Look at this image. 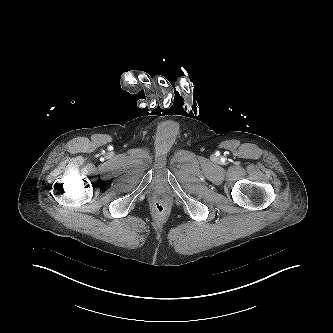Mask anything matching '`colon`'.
Listing matches in <instances>:
<instances>
[{
	"label": "colon",
	"mask_w": 333,
	"mask_h": 333,
	"mask_svg": "<svg viewBox=\"0 0 333 333\" xmlns=\"http://www.w3.org/2000/svg\"><path fill=\"white\" fill-rule=\"evenodd\" d=\"M154 207L158 213H163L166 210V205L162 201H157Z\"/></svg>",
	"instance_id": "5ec220e1"
}]
</instances>
